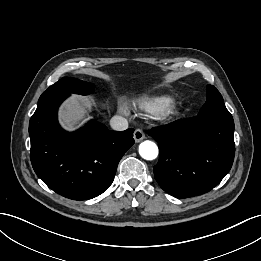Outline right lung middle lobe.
<instances>
[{
	"instance_id": "obj_1",
	"label": "right lung middle lobe",
	"mask_w": 261,
	"mask_h": 261,
	"mask_svg": "<svg viewBox=\"0 0 261 261\" xmlns=\"http://www.w3.org/2000/svg\"><path fill=\"white\" fill-rule=\"evenodd\" d=\"M94 89V85L75 78L64 77L51 85L46 92H67L87 95Z\"/></svg>"
}]
</instances>
